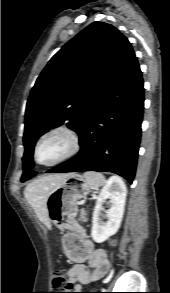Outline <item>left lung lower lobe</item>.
I'll return each instance as SVG.
<instances>
[{
	"mask_svg": "<svg viewBox=\"0 0 170 293\" xmlns=\"http://www.w3.org/2000/svg\"><path fill=\"white\" fill-rule=\"evenodd\" d=\"M143 110L142 73L133 51L79 133L80 152L47 173L113 172L132 183Z\"/></svg>",
	"mask_w": 170,
	"mask_h": 293,
	"instance_id": "0a47b994",
	"label": "left lung lower lobe"
}]
</instances>
